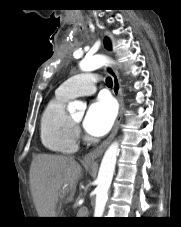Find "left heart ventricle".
<instances>
[{"instance_id": "obj_1", "label": "left heart ventricle", "mask_w": 181, "mask_h": 227, "mask_svg": "<svg viewBox=\"0 0 181 227\" xmlns=\"http://www.w3.org/2000/svg\"><path fill=\"white\" fill-rule=\"evenodd\" d=\"M81 118H82V116L80 115V116L75 117L74 119H75V121L79 122L81 120Z\"/></svg>"}]
</instances>
